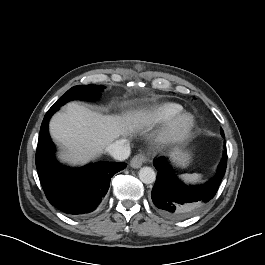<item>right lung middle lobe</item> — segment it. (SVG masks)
Returning <instances> with one entry per match:
<instances>
[{
	"label": "right lung middle lobe",
	"instance_id": "dd1d6c3e",
	"mask_svg": "<svg viewBox=\"0 0 265 265\" xmlns=\"http://www.w3.org/2000/svg\"><path fill=\"white\" fill-rule=\"evenodd\" d=\"M104 86L100 85H77L69 89L52 107H60L74 99L96 100Z\"/></svg>",
	"mask_w": 265,
	"mask_h": 265
}]
</instances>
